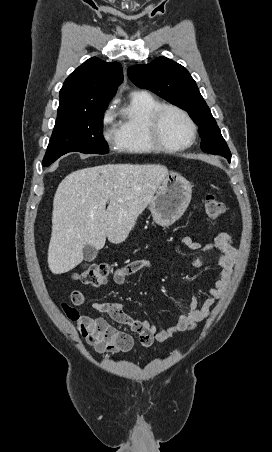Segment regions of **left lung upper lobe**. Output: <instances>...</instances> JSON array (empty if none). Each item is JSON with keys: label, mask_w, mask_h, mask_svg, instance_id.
I'll return each mask as SVG.
<instances>
[{"label": "left lung upper lobe", "mask_w": 272, "mask_h": 452, "mask_svg": "<svg viewBox=\"0 0 272 452\" xmlns=\"http://www.w3.org/2000/svg\"><path fill=\"white\" fill-rule=\"evenodd\" d=\"M128 77L138 87L148 89L166 101L185 109L199 126L201 148L210 154H219L231 160V152L196 82L187 69L165 57L149 64L134 65L127 70Z\"/></svg>", "instance_id": "5c2ea615"}]
</instances>
